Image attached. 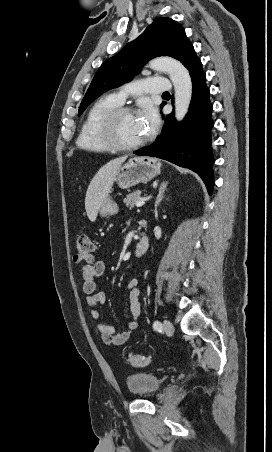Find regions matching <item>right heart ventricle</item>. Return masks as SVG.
Masks as SVG:
<instances>
[{"mask_svg": "<svg viewBox=\"0 0 272 452\" xmlns=\"http://www.w3.org/2000/svg\"><path fill=\"white\" fill-rule=\"evenodd\" d=\"M120 105L121 103L113 95L102 96L91 105L81 124L76 140L80 149L90 152H109L111 150L101 136L99 123L107 111Z\"/></svg>", "mask_w": 272, "mask_h": 452, "instance_id": "right-heart-ventricle-1", "label": "right heart ventricle"}]
</instances>
